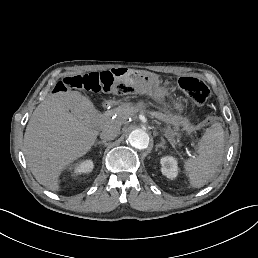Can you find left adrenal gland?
<instances>
[{
	"label": "left adrenal gland",
	"mask_w": 258,
	"mask_h": 258,
	"mask_svg": "<svg viewBox=\"0 0 258 258\" xmlns=\"http://www.w3.org/2000/svg\"><path fill=\"white\" fill-rule=\"evenodd\" d=\"M165 141L162 139L160 143H157L155 145V149L157 150L158 147H162V148H166V146L164 145Z\"/></svg>",
	"instance_id": "a2214340"
}]
</instances>
